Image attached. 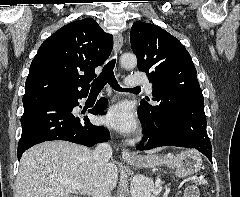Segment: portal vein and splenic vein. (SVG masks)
<instances>
[{
    "label": "portal vein and splenic vein",
    "instance_id": "1",
    "mask_svg": "<svg viewBox=\"0 0 240 197\" xmlns=\"http://www.w3.org/2000/svg\"><path fill=\"white\" fill-rule=\"evenodd\" d=\"M66 184H68L72 189L74 190H80L83 186L80 183L65 181Z\"/></svg>",
    "mask_w": 240,
    "mask_h": 197
}]
</instances>
